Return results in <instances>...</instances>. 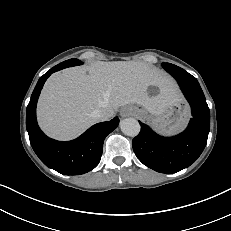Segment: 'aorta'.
Wrapping results in <instances>:
<instances>
[{"mask_svg": "<svg viewBox=\"0 0 231 231\" xmlns=\"http://www.w3.org/2000/svg\"><path fill=\"white\" fill-rule=\"evenodd\" d=\"M121 131L131 137H135L140 132V124L134 118H126L120 122Z\"/></svg>", "mask_w": 231, "mask_h": 231, "instance_id": "obj_1", "label": "aorta"}]
</instances>
